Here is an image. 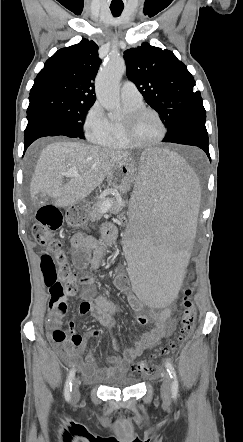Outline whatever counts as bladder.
<instances>
[{
	"mask_svg": "<svg viewBox=\"0 0 243 442\" xmlns=\"http://www.w3.org/2000/svg\"><path fill=\"white\" fill-rule=\"evenodd\" d=\"M138 381L130 375L123 373L119 376L110 377L102 384L105 388H130L136 385Z\"/></svg>",
	"mask_w": 243,
	"mask_h": 442,
	"instance_id": "1",
	"label": "bladder"
}]
</instances>
